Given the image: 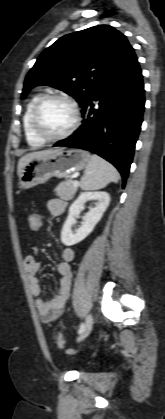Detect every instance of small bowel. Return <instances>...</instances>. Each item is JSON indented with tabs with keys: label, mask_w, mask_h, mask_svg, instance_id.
<instances>
[{
	"label": "small bowel",
	"mask_w": 165,
	"mask_h": 419,
	"mask_svg": "<svg viewBox=\"0 0 165 419\" xmlns=\"http://www.w3.org/2000/svg\"><path fill=\"white\" fill-rule=\"evenodd\" d=\"M46 208L51 216H60L65 210V202L60 199H51L47 202ZM74 250L64 246L61 250V260L57 264V272L61 276L60 288L57 294L51 299L44 300L40 297L42 293L41 282L38 274L41 264L33 254H29L24 259L25 271L28 277L30 291L35 297L34 304L46 324H52L63 313L64 306L69 298L72 270L70 262L74 259Z\"/></svg>",
	"instance_id": "obj_1"
}]
</instances>
